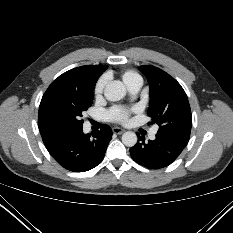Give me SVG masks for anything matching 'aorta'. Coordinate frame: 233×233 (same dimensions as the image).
Instances as JSON below:
<instances>
[{"label": "aorta", "mask_w": 233, "mask_h": 233, "mask_svg": "<svg viewBox=\"0 0 233 233\" xmlns=\"http://www.w3.org/2000/svg\"><path fill=\"white\" fill-rule=\"evenodd\" d=\"M126 95V88L120 81L110 82L105 90L104 96L109 101H119ZM122 142L125 146L132 147L137 143V135L134 132L128 131L122 135Z\"/></svg>", "instance_id": "1"}]
</instances>
